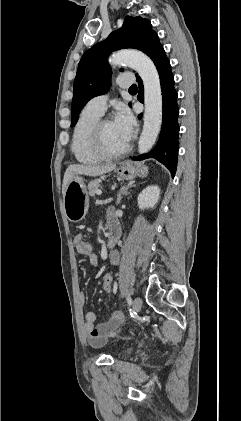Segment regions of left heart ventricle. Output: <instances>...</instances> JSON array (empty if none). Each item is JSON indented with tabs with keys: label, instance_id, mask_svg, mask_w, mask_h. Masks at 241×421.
<instances>
[{
	"label": "left heart ventricle",
	"instance_id": "left-heart-ventricle-1",
	"mask_svg": "<svg viewBox=\"0 0 241 421\" xmlns=\"http://www.w3.org/2000/svg\"><path fill=\"white\" fill-rule=\"evenodd\" d=\"M103 140L105 147L112 152L121 150L128 143L112 121L107 122L104 126Z\"/></svg>",
	"mask_w": 241,
	"mask_h": 421
}]
</instances>
